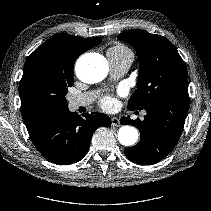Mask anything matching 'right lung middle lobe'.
<instances>
[{"instance_id": "1", "label": "right lung middle lobe", "mask_w": 211, "mask_h": 211, "mask_svg": "<svg viewBox=\"0 0 211 211\" xmlns=\"http://www.w3.org/2000/svg\"><path fill=\"white\" fill-rule=\"evenodd\" d=\"M73 83L72 73L63 72L47 58H37L24 66L19 94L32 109L51 114L68 108L65 96Z\"/></svg>"}]
</instances>
